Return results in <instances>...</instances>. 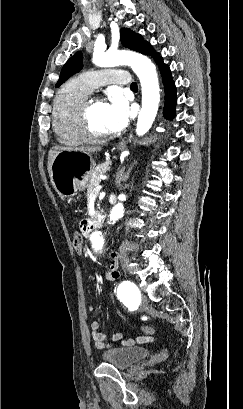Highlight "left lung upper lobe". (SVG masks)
<instances>
[{
  "mask_svg": "<svg viewBox=\"0 0 243 409\" xmlns=\"http://www.w3.org/2000/svg\"><path fill=\"white\" fill-rule=\"evenodd\" d=\"M121 43L124 47L141 52L144 54H150L154 57L158 65L163 64L162 58L151 49V45L142 39V36L134 33L130 29L123 28L120 31ZM83 68V56L81 52L75 53L63 66L59 80L56 87H59L70 76L77 73Z\"/></svg>",
  "mask_w": 243,
  "mask_h": 409,
  "instance_id": "5c2ea615",
  "label": "left lung upper lobe"
}]
</instances>
